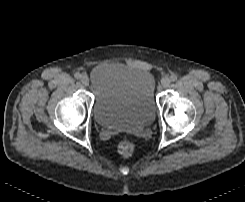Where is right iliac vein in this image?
<instances>
[{
	"mask_svg": "<svg viewBox=\"0 0 245 202\" xmlns=\"http://www.w3.org/2000/svg\"><path fill=\"white\" fill-rule=\"evenodd\" d=\"M80 81L83 85L87 86L89 84V79L86 75H82Z\"/></svg>",
	"mask_w": 245,
	"mask_h": 202,
	"instance_id": "right-iliac-vein-1",
	"label": "right iliac vein"
}]
</instances>
